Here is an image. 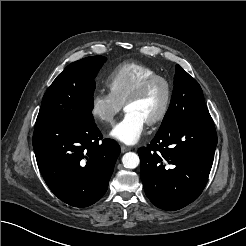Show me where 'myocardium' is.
I'll return each mask as SVG.
<instances>
[{
	"instance_id": "obj_1",
	"label": "myocardium",
	"mask_w": 246,
	"mask_h": 246,
	"mask_svg": "<svg viewBox=\"0 0 246 246\" xmlns=\"http://www.w3.org/2000/svg\"><path fill=\"white\" fill-rule=\"evenodd\" d=\"M158 81L163 83L165 87V100H164L163 106L161 110L159 111V113L155 117H153L152 119L146 122L148 125H151V126L162 122L164 118L167 116L170 106H171L173 89H172L171 82L165 76H162L160 74H155V75H152L144 79L130 93V95L126 98L124 102V108H125L129 103L134 102L138 100L139 98H141L145 94V92L150 88V86Z\"/></svg>"
}]
</instances>
